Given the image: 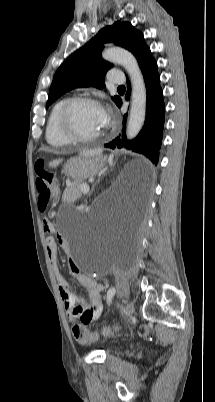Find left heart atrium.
<instances>
[{"instance_id": "obj_1", "label": "left heart atrium", "mask_w": 215, "mask_h": 402, "mask_svg": "<svg viewBox=\"0 0 215 402\" xmlns=\"http://www.w3.org/2000/svg\"><path fill=\"white\" fill-rule=\"evenodd\" d=\"M104 125L107 126L109 123V116L104 112V118H103Z\"/></svg>"}]
</instances>
